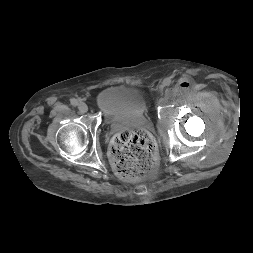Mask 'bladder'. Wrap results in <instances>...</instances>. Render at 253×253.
I'll return each mask as SVG.
<instances>
[{
    "label": "bladder",
    "mask_w": 253,
    "mask_h": 253,
    "mask_svg": "<svg viewBox=\"0 0 253 253\" xmlns=\"http://www.w3.org/2000/svg\"><path fill=\"white\" fill-rule=\"evenodd\" d=\"M95 105L106 118L116 119L145 114L149 102L141 88L117 84L101 90L95 98Z\"/></svg>",
    "instance_id": "obj_1"
}]
</instances>
